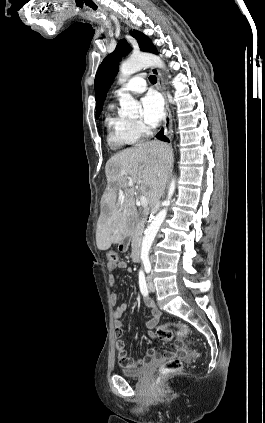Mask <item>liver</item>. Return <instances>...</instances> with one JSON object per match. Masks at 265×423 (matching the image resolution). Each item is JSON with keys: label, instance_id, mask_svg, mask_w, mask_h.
I'll list each match as a JSON object with an SVG mask.
<instances>
[{"label": "liver", "instance_id": "6515ba94", "mask_svg": "<svg viewBox=\"0 0 265 423\" xmlns=\"http://www.w3.org/2000/svg\"><path fill=\"white\" fill-rule=\"evenodd\" d=\"M172 163L171 148L160 141H151L124 149L113 155L105 166L110 188L102 198V207L108 213L101 214L96 230L99 250H107L127 233L126 213L134 208V194L139 192L153 207L162 196ZM132 181L133 185L129 186ZM119 188V193L117 191ZM122 189V190H121Z\"/></svg>", "mask_w": 265, "mask_h": 423}]
</instances>
